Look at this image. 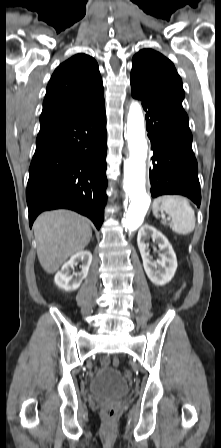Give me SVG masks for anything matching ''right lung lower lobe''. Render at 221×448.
<instances>
[{
  "label": "right lung lower lobe",
  "mask_w": 221,
  "mask_h": 448,
  "mask_svg": "<svg viewBox=\"0 0 221 448\" xmlns=\"http://www.w3.org/2000/svg\"><path fill=\"white\" fill-rule=\"evenodd\" d=\"M104 98L40 128L26 190L30 228L42 211L67 208L100 228L107 196Z\"/></svg>",
  "instance_id": "1"
}]
</instances>
